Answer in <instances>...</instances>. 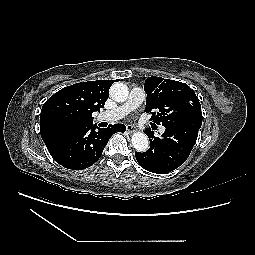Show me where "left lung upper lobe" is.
I'll list each match as a JSON object with an SVG mask.
<instances>
[{
  "label": "left lung upper lobe",
  "instance_id": "1",
  "mask_svg": "<svg viewBox=\"0 0 255 255\" xmlns=\"http://www.w3.org/2000/svg\"><path fill=\"white\" fill-rule=\"evenodd\" d=\"M147 94L145 111L151 120L163 126L202 120L201 105L187 84L162 77H149L144 83Z\"/></svg>",
  "mask_w": 255,
  "mask_h": 255
}]
</instances>
